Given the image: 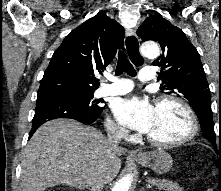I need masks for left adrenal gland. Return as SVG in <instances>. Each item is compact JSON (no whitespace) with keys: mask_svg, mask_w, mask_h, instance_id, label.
<instances>
[{"mask_svg":"<svg viewBox=\"0 0 221 191\" xmlns=\"http://www.w3.org/2000/svg\"><path fill=\"white\" fill-rule=\"evenodd\" d=\"M140 191H145V188H144V187H142V188L140 189Z\"/></svg>","mask_w":221,"mask_h":191,"instance_id":"1","label":"left adrenal gland"}]
</instances>
